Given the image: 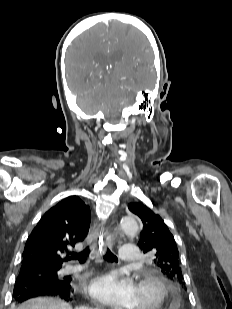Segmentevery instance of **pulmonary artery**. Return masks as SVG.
Returning <instances> with one entry per match:
<instances>
[{"instance_id": "pulmonary-artery-1", "label": "pulmonary artery", "mask_w": 232, "mask_h": 309, "mask_svg": "<svg viewBox=\"0 0 232 309\" xmlns=\"http://www.w3.org/2000/svg\"><path fill=\"white\" fill-rule=\"evenodd\" d=\"M119 259L125 263L138 261L137 247L134 245H127L121 247L119 250ZM83 268L84 267L82 266L67 265L65 266V268L62 269V272L64 274L77 273L83 270Z\"/></svg>"}]
</instances>
